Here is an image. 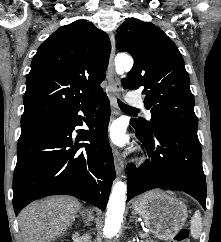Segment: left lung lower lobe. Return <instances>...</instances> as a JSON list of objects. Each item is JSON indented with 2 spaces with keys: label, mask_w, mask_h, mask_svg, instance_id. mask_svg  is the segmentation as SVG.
I'll use <instances>...</instances> for the list:
<instances>
[{
  "label": "left lung lower lobe",
  "mask_w": 221,
  "mask_h": 242,
  "mask_svg": "<svg viewBox=\"0 0 221 242\" xmlns=\"http://www.w3.org/2000/svg\"><path fill=\"white\" fill-rule=\"evenodd\" d=\"M132 125L149 160L138 169L127 167V201L154 188H169L188 193L206 209V178L197 130L162 124L145 132Z\"/></svg>",
  "instance_id": "left-lung-lower-lobe-1"
}]
</instances>
